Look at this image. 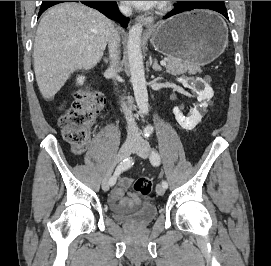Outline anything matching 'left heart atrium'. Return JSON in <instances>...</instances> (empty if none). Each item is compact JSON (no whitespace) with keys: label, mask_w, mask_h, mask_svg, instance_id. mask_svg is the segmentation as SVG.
Returning a JSON list of instances; mask_svg holds the SVG:
<instances>
[{"label":"left heart atrium","mask_w":271,"mask_h":266,"mask_svg":"<svg viewBox=\"0 0 271 266\" xmlns=\"http://www.w3.org/2000/svg\"><path fill=\"white\" fill-rule=\"evenodd\" d=\"M126 2L136 8L146 9L158 4L160 1H126Z\"/></svg>","instance_id":"1"}]
</instances>
